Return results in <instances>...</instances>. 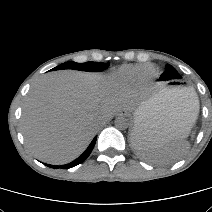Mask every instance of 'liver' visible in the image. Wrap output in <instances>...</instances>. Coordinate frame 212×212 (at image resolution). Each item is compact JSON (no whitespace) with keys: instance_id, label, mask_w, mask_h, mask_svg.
Instances as JSON below:
<instances>
[{"instance_id":"1","label":"liver","mask_w":212,"mask_h":212,"mask_svg":"<svg viewBox=\"0 0 212 212\" xmlns=\"http://www.w3.org/2000/svg\"><path fill=\"white\" fill-rule=\"evenodd\" d=\"M168 102L169 126L186 136L195 117L174 99L168 98ZM134 108L130 89L93 73L56 71L39 78L30 89L22 109L21 129L27 148L36 158L60 165L86 149L100 123Z\"/></svg>"}]
</instances>
